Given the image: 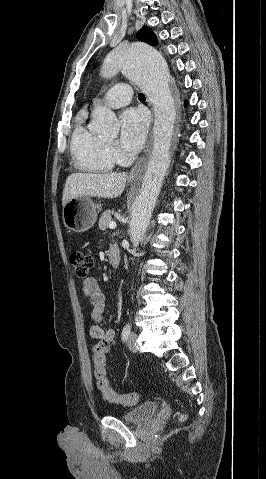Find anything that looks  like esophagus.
Instances as JSON below:
<instances>
[{
  "label": "esophagus",
  "mask_w": 266,
  "mask_h": 479,
  "mask_svg": "<svg viewBox=\"0 0 266 479\" xmlns=\"http://www.w3.org/2000/svg\"><path fill=\"white\" fill-rule=\"evenodd\" d=\"M143 161H144V156H142L139 159V161L132 167L128 175L129 178H135L138 175V173L140 172V168L143 164Z\"/></svg>",
  "instance_id": "34e87169"
}]
</instances>
